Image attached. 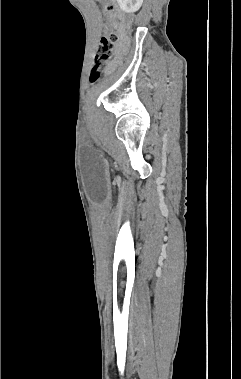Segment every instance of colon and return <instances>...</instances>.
I'll list each match as a JSON object with an SVG mask.
<instances>
[{
    "instance_id": "5ec220e1",
    "label": "colon",
    "mask_w": 241,
    "mask_h": 379,
    "mask_svg": "<svg viewBox=\"0 0 241 379\" xmlns=\"http://www.w3.org/2000/svg\"><path fill=\"white\" fill-rule=\"evenodd\" d=\"M105 11L112 20L119 18V13L110 0L105 6ZM135 19V13L127 14V23L125 24L126 30L134 29L133 23ZM118 41L119 34L117 32H110L107 36L101 39L95 55V64L91 72L92 81H96L101 76V74L108 69V66L113 57L114 48Z\"/></svg>"
}]
</instances>
